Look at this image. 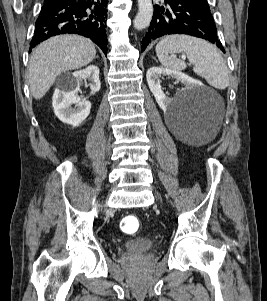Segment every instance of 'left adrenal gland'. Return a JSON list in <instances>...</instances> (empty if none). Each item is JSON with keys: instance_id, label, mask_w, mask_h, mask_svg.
<instances>
[{"instance_id": "a2214340", "label": "left adrenal gland", "mask_w": 267, "mask_h": 301, "mask_svg": "<svg viewBox=\"0 0 267 301\" xmlns=\"http://www.w3.org/2000/svg\"><path fill=\"white\" fill-rule=\"evenodd\" d=\"M153 59H154L155 61H157L155 57H153Z\"/></svg>"}]
</instances>
